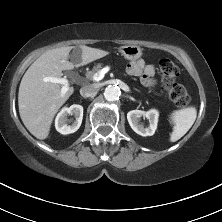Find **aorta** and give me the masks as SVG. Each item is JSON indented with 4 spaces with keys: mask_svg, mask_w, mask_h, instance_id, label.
Segmentation results:
<instances>
[{
    "mask_svg": "<svg viewBox=\"0 0 222 222\" xmlns=\"http://www.w3.org/2000/svg\"><path fill=\"white\" fill-rule=\"evenodd\" d=\"M121 95L120 88L114 85L108 86L104 91V97L107 101H116Z\"/></svg>",
    "mask_w": 222,
    "mask_h": 222,
    "instance_id": "aorta-1",
    "label": "aorta"
}]
</instances>
